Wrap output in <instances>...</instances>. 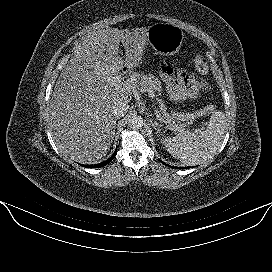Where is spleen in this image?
I'll use <instances>...</instances> for the list:
<instances>
[{
    "label": "spleen",
    "instance_id": "1",
    "mask_svg": "<svg viewBox=\"0 0 272 272\" xmlns=\"http://www.w3.org/2000/svg\"><path fill=\"white\" fill-rule=\"evenodd\" d=\"M225 129L224 113L215 111L205 130L199 134L180 132L175 137L165 138L164 145L185 165H198L215 156L224 139Z\"/></svg>",
    "mask_w": 272,
    "mask_h": 272
}]
</instances>
